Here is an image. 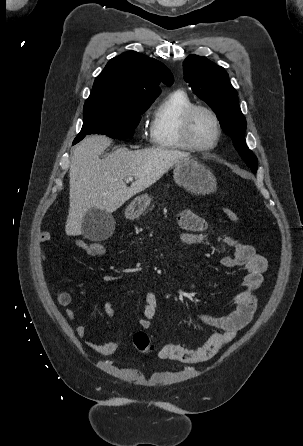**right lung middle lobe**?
Wrapping results in <instances>:
<instances>
[{
    "instance_id": "right-lung-middle-lobe-1",
    "label": "right lung middle lobe",
    "mask_w": 303,
    "mask_h": 446,
    "mask_svg": "<svg viewBox=\"0 0 303 446\" xmlns=\"http://www.w3.org/2000/svg\"><path fill=\"white\" fill-rule=\"evenodd\" d=\"M149 106H90L84 107L83 127L73 144L87 134H105L112 138L132 137L139 124L141 114Z\"/></svg>"
}]
</instances>
